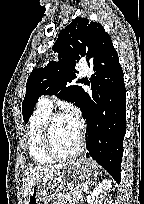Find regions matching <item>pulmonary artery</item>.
<instances>
[{"label":"pulmonary artery","instance_id":"e3ab8cb5","mask_svg":"<svg viewBox=\"0 0 144 204\" xmlns=\"http://www.w3.org/2000/svg\"><path fill=\"white\" fill-rule=\"evenodd\" d=\"M80 70L82 73H88L87 68H81ZM38 103H39V105L46 107L48 109H52V107H53L52 98L49 95L41 96Z\"/></svg>","mask_w":144,"mask_h":204}]
</instances>
